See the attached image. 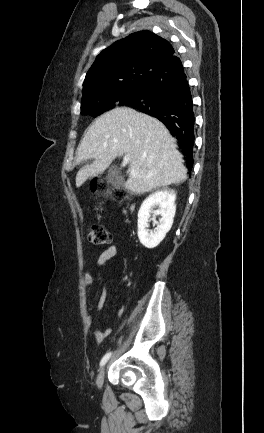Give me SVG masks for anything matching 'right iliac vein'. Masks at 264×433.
<instances>
[{
    "mask_svg": "<svg viewBox=\"0 0 264 433\" xmlns=\"http://www.w3.org/2000/svg\"><path fill=\"white\" fill-rule=\"evenodd\" d=\"M104 376H105V367H102L96 378V385L98 388L102 387L104 382Z\"/></svg>",
    "mask_w": 264,
    "mask_h": 433,
    "instance_id": "63e3f726",
    "label": "right iliac vein"
}]
</instances>
